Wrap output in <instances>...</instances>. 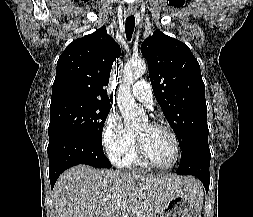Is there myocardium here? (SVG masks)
Segmentation results:
<instances>
[{
	"label": "myocardium",
	"instance_id": "obj_1",
	"mask_svg": "<svg viewBox=\"0 0 253 217\" xmlns=\"http://www.w3.org/2000/svg\"><path fill=\"white\" fill-rule=\"evenodd\" d=\"M150 125L153 126V127H156V128L165 129L170 134V136L173 140V144H174V157H173V160L167 166H159V165L155 164L148 157V155L146 154V152L144 150V147H143L142 140L136 134V145L135 146H136V151H137L138 158L144 165H146V166H148L152 169H155V170L161 171V172L169 171V170L173 169L179 161L180 142H179L178 136H177L175 130L167 123H164V122H151Z\"/></svg>",
	"mask_w": 253,
	"mask_h": 217
}]
</instances>
